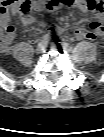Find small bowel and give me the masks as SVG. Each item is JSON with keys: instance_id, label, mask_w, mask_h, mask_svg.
Here are the masks:
<instances>
[{"instance_id": "small-bowel-1", "label": "small bowel", "mask_w": 104, "mask_h": 137, "mask_svg": "<svg viewBox=\"0 0 104 137\" xmlns=\"http://www.w3.org/2000/svg\"><path fill=\"white\" fill-rule=\"evenodd\" d=\"M44 2L45 0H31L30 6L34 5L36 7H40L44 4ZM50 3L55 4V7L74 6L84 13L91 12L94 15L95 20L90 24V29L85 27H78L74 30V36L76 39L94 40L102 35L101 20L103 17V7L101 0H51ZM27 12L28 11L20 12L21 22L24 26H29L36 21L35 18ZM0 23L2 26L10 25L7 7H3L1 9ZM94 24H98L99 26L94 27ZM58 31L61 30L58 29ZM14 37L15 34L13 32L5 36V38L0 41V49L3 52H9Z\"/></svg>"}]
</instances>
